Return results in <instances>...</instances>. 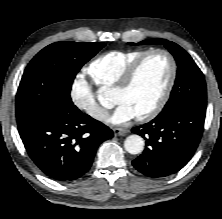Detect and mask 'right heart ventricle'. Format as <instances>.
I'll list each match as a JSON object with an SVG mask.
<instances>
[{"label":"right heart ventricle","instance_id":"1","mask_svg":"<svg viewBox=\"0 0 222 219\" xmlns=\"http://www.w3.org/2000/svg\"><path fill=\"white\" fill-rule=\"evenodd\" d=\"M147 50H113L96 57L85 69L100 88H114L129 65Z\"/></svg>","mask_w":222,"mask_h":219}]
</instances>
